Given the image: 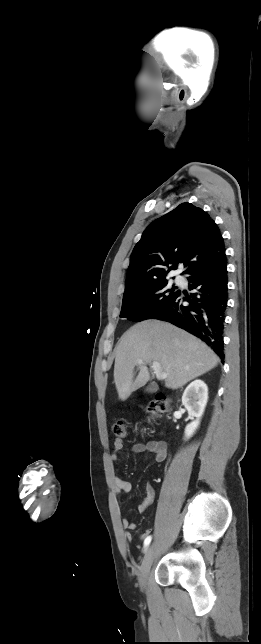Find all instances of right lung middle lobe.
Listing matches in <instances>:
<instances>
[{
    "instance_id": "obj_1",
    "label": "right lung middle lobe",
    "mask_w": 261,
    "mask_h": 644,
    "mask_svg": "<svg viewBox=\"0 0 261 644\" xmlns=\"http://www.w3.org/2000/svg\"><path fill=\"white\" fill-rule=\"evenodd\" d=\"M180 290L163 279L125 289L120 317L135 322L153 318L169 306Z\"/></svg>"
}]
</instances>
